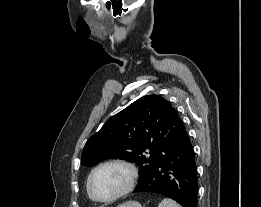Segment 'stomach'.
<instances>
[{
	"label": "stomach",
	"instance_id": "1",
	"mask_svg": "<svg viewBox=\"0 0 261 207\" xmlns=\"http://www.w3.org/2000/svg\"><path fill=\"white\" fill-rule=\"evenodd\" d=\"M117 207H142V206L137 201H128V202L118 205Z\"/></svg>",
	"mask_w": 261,
	"mask_h": 207
}]
</instances>
